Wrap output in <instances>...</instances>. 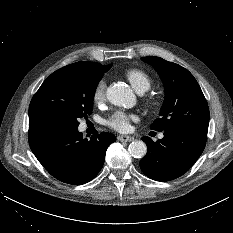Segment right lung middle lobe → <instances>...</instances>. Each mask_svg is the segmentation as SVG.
<instances>
[{
  "label": "right lung middle lobe",
  "mask_w": 233,
  "mask_h": 233,
  "mask_svg": "<svg viewBox=\"0 0 233 233\" xmlns=\"http://www.w3.org/2000/svg\"><path fill=\"white\" fill-rule=\"evenodd\" d=\"M108 69L65 66L53 72L33 96L30 124H57L77 128L92 113L94 93Z\"/></svg>",
  "instance_id": "right-lung-middle-lobe-1"
}]
</instances>
